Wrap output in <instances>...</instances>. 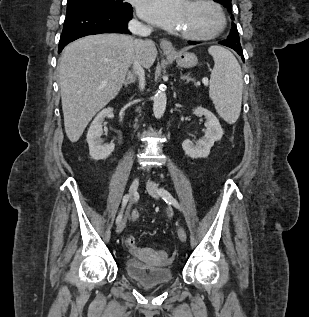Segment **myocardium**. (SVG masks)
<instances>
[{
  "label": "myocardium",
  "mask_w": 309,
  "mask_h": 317,
  "mask_svg": "<svg viewBox=\"0 0 309 317\" xmlns=\"http://www.w3.org/2000/svg\"><path fill=\"white\" fill-rule=\"evenodd\" d=\"M190 2L193 3H200L207 5L211 7L216 16H217V25L216 27L207 33H188V32H181V36L185 39L188 40H193V41H207V40H212L218 37L224 29L226 28V16L224 14V11L222 10L221 6L215 2L214 0H191Z\"/></svg>",
  "instance_id": "1"
}]
</instances>
